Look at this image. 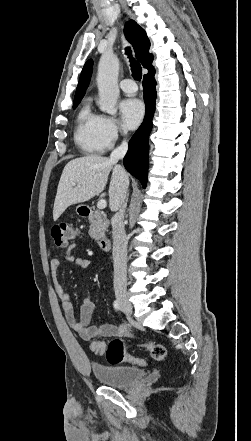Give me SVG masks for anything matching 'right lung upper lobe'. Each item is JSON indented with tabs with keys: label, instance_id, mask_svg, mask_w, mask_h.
Returning a JSON list of instances; mask_svg holds the SVG:
<instances>
[{
	"label": "right lung upper lobe",
	"instance_id": "obj_1",
	"mask_svg": "<svg viewBox=\"0 0 251 441\" xmlns=\"http://www.w3.org/2000/svg\"><path fill=\"white\" fill-rule=\"evenodd\" d=\"M124 33L133 45L137 59L141 62L143 67L148 69V72L154 70L152 66L153 56L149 53L150 41L147 38L146 32L134 20H130L125 24ZM93 68V61L88 60L81 72L79 83L76 89L74 102L81 101L86 89L90 83Z\"/></svg>",
	"mask_w": 251,
	"mask_h": 441
}]
</instances>
